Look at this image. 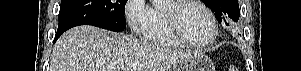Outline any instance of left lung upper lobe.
<instances>
[{
	"instance_id": "5c2ea615",
	"label": "left lung upper lobe",
	"mask_w": 301,
	"mask_h": 71,
	"mask_svg": "<svg viewBox=\"0 0 301 71\" xmlns=\"http://www.w3.org/2000/svg\"><path fill=\"white\" fill-rule=\"evenodd\" d=\"M204 2L215 12L219 22L227 16L238 21L240 16L238 0H204Z\"/></svg>"
}]
</instances>
